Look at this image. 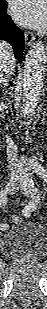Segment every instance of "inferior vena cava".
<instances>
[{"label": "inferior vena cava", "mask_w": 47, "mask_h": 309, "mask_svg": "<svg viewBox=\"0 0 47 309\" xmlns=\"http://www.w3.org/2000/svg\"><path fill=\"white\" fill-rule=\"evenodd\" d=\"M15 70V57L11 46L2 41L0 43V78L8 79ZM8 156L14 166L19 171H22V166L17 162L16 150L13 142L8 139Z\"/></svg>", "instance_id": "obj_1"}]
</instances>
